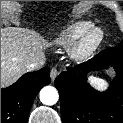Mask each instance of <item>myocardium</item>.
<instances>
[{
  "label": "myocardium",
  "mask_w": 123,
  "mask_h": 123,
  "mask_svg": "<svg viewBox=\"0 0 123 123\" xmlns=\"http://www.w3.org/2000/svg\"><path fill=\"white\" fill-rule=\"evenodd\" d=\"M104 37L105 33L101 27H91L72 44L70 57L76 62L89 59L103 43Z\"/></svg>",
  "instance_id": "1"
}]
</instances>
